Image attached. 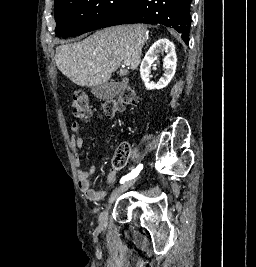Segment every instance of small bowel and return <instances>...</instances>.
Listing matches in <instances>:
<instances>
[{"label":"small bowel","instance_id":"small-bowel-1","mask_svg":"<svg viewBox=\"0 0 256 267\" xmlns=\"http://www.w3.org/2000/svg\"><path fill=\"white\" fill-rule=\"evenodd\" d=\"M71 147L75 153V165L77 167V176L79 180V186L86 198L91 202H99L106 196V191H96L92 187L91 176L95 173V167L89 166L88 169H82L80 167L79 153L83 148V138L80 135V127L77 123L71 125ZM117 176L116 170H111L105 179L104 185L106 188H110L115 184Z\"/></svg>","mask_w":256,"mask_h":267}]
</instances>
